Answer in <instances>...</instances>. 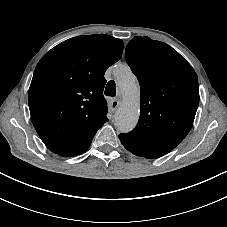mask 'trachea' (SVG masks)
Masks as SVG:
<instances>
[{
  "instance_id": "obj_1",
  "label": "trachea",
  "mask_w": 227,
  "mask_h": 227,
  "mask_svg": "<svg viewBox=\"0 0 227 227\" xmlns=\"http://www.w3.org/2000/svg\"><path fill=\"white\" fill-rule=\"evenodd\" d=\"M105 95L110 97H114L116 95V85L113 80L107 83V86L105 88Z\"/></svg>"
}]
</instances>
